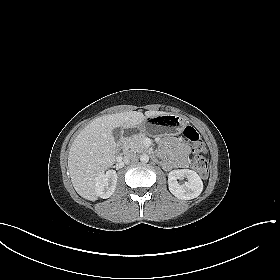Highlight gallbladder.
<instances>
[{
  "instance_id": "1",
  "label": "gallbladder",
  "mask_w": 280,
  "mask_h": 280,
  "mask_svg": "<svg viewBox=\"0 0 280 280\" xmlns=\"http://www.w3.org/2000/svg\"><path fill=\"white\" fill-rule=\"evenodd\" d=\"M113 137L115 139V141L118 143L120 142L121 139V128H115L113 130Z\"/></svg>"
}]
</instances>
